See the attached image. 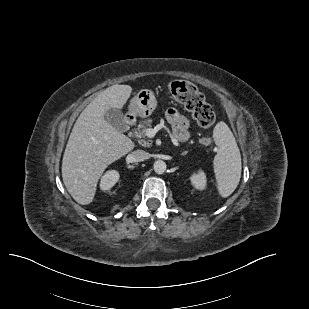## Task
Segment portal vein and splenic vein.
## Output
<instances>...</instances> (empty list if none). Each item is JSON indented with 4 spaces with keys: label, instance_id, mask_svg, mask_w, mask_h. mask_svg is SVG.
Listing matches in <instances>:
<instances>
[{
    "label": "portal vein and splenic vein",
    "instance_id": "18ae733b",
    "mask_svg": "<svg viewBox=\"0 0 309 309\" xmlns=\"http://www.w3.org/2000/svg\"><path fill=\"white\" fill-rule=\"evenodd\" d=\"M155 133H156V131H155L154 129L149 128V129H147V131H146V136L149 137V138H152V137L155 136Z\"/></svg>",
    "mask_w": 309,
    "mask_h": 309
}]
</instances>
